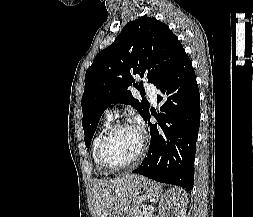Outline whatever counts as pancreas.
Masks as SVG:
<instances>
[{"mask_svg":"<svg viewBox=\"0 0 253 217\" xmlns=\"http://www.w3.org/2000/svg\"><path fill=\"white\" fill-rule=\"evenodd\" d=\"M130 217H153V211H150L148 215H145L144 209H138L132 213Z\"/></svg>","mask_w":253,"mask_h":217,"instance_id":"1","label":"pancreas"}]
</instances>
